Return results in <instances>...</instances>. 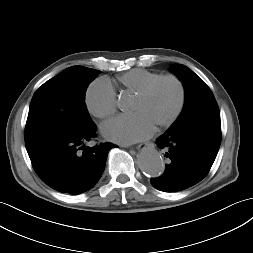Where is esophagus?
Segmentation results:
<instances>
[{"label":"esophagus","instance_id":"obj_1","mask_svg":"<svg viewBox=\"0 0 253 253\" xmlns=\"http://www.w3.org/2000/svg\"><path fill=\"white\" fill-rule=\"evenodd\" d=\"M147 145H149V143H147V142L146 143H141V144L137 145L136 148L141 149V148L146 147Z\"/></svg>","mask_w":253,"mask_h":253}]
</instances>
